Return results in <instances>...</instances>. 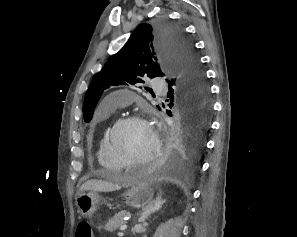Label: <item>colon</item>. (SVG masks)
Segmentation results:
<instances>
[{
    "instance_id": "1",
    "label": "colon",
    "mask_w": 297,
    "mask_h": 237,
    "mask_svg": "<svg viewBox=\"0 0 297 237\" xmlns=\"http://www.w3.org/2000/svg\"><path fill=\"white\" fill-rule=\"evenodd\" d=\"M76 237H93L90 225L86 222H81L76 227Z\"/></svg>"
}]
</instances>
